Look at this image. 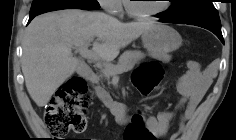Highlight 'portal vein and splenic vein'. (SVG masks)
Masks as SVG:
<instances>
[{
    "instance_id": "obj_1",
    "label": "portal vein and splenic vein",
    "mask_w": 236,
    "mask_h": 140,
    "mask_svg": "<svg viewBox=\"0 0 236 140\" xmlns=\"http://www.w3.org/2000/svg\"><path fill=\"white\" fill-rule=\"evenodd\" d=\"M77 51L80 53L82 57L89 59L91 61H97L100 59V57L97 55L95 51L88 49V45L77 46ZM121 72L122 70L120 69H114V74H118Z\"/></svg>"
}]
</instances>
